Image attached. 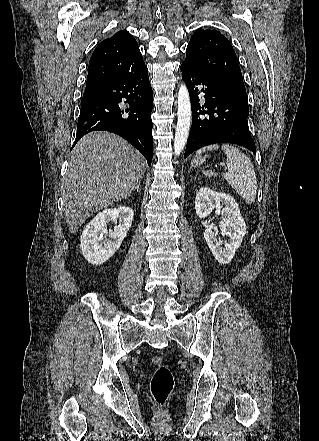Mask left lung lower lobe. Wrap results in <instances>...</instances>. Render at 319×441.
<instances>
[{
	"label": "left lung lower lobe",
	"instance_id": "left-lung-lower-lobe-1",
	"mask_svg": "<svg viewBox=\"0 0 319 441\" xmlns=\"http://www.w3.org/2000/svg\"><path fill=\"white\" fill-rule=\"evenodd\" d=\"M182 78L191 100L192 127L184 158L207 145L232 143L251 150L255 143L248 127V99L224 80L183 62ZM205 94L200 105L198 95Z\"/></svg>",
	"mask_w": 319,
	"mask_h": 441
}]
</instances>
